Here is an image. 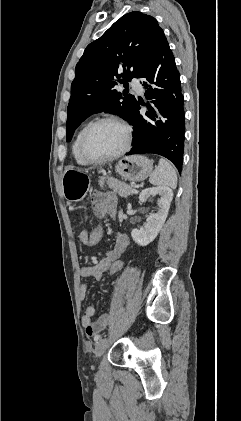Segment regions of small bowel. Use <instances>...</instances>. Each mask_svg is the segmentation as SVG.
<instances>
[{"instance_id": "1", "label": "small bowel", "mask_w": 241, "mask_h": 421, "mask_svg": "<svg viewBox=\"0 0 241 421\" xmlns=\"http://www.w3.org/2000/svg\"><path fill=\"white\" fill-rule=\"evenodd\" d=\"M92 206L95 216L102 218L105 216H112L116 211V195L111 192H95L92 195ZM88 236L87 229H81L78 233V239L83 244L86 243ZM129 245V238L126 234L120 233L117 235L114 245L110 251L107 252L106 256L93 265L85 266L81 269V276L84 278H93L99 280L103 274L108 270L110 264L119 259ZM87 294V285L85 283L79 286V295L82 299ZM95 315V309L93 306H87L82 316V324L85 329V333L89 337L96 336L97 333L103 329L108 321L109 317L107 314H103L98 318L97 321L93 322L92 318Z\"/></svg>"}]
</instances>
